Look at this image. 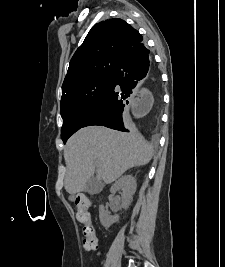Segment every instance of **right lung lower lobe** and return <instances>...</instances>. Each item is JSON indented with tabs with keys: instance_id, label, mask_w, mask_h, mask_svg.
Masks as SVG:
<instances>
[{
	"instance_id": "obj_1",
	"label": "right lung lower lobe",
	"mask_w": 225,
	"mask_h": 267,
	"mask_svg": "<svg viewBox=\"0 0 225 267\" xmlns=\"http://www.w3.org/2000/svg\"><path fill=\"white\" fill-rule=\"evenodd\" d=\"M144 82L150 83L155 89L159 88L160 80L150 51L147 45L141 42L121 56L105 97L82 127L100 125L127 131L122 121L123 111L128 109L129 101L135 93L134 88Z\"/></svg>"
}]
</instances>
